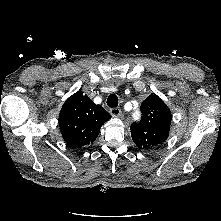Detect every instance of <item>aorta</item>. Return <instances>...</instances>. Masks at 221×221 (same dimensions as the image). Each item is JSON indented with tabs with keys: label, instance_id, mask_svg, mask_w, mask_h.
Listing matches in <instances>:
<instances>
[{
	"label": "aorta",
	"instance_id": "1",
	"mask_svg": "<svg viewBox=\"0 0 221 221\" xmlns=\"http://www.w3.org/2000/svg\"><path fill=\"white\" fill-rule=\"evenodd\" d=\"M134 115H135V116L137 115V112H136V111L134 112Z\"/></svg>",
	"mask_w": 221,
	"mask_h": 221
}]
</instances>
